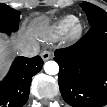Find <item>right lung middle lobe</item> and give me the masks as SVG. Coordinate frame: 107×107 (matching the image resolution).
<instances>
[{
  "mask_svg": "<svg viewBox=\"0 0 107 107\" xmlns=\"http://www.w3.org/2000/svg\"><path fill=\"white\" fill-rule=\"evenodd\" d=\"M20 12L6 4H0V31L11 33L18 29Z\"/></svg>",
  "mask_w": 107,
  "mask_h": 107,
  "instance_id": "1",
  "label": "right lung middle lobe"
}]
</instances>
